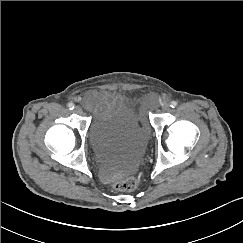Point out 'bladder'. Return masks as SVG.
Instances as JSON below:
<instances>
[{"label":"bladder","mask_w":243,"mask_h":243,"mask_svg":"<svg viewBox=\"0 0 243 243\" xmlns=\"http://www.w3.org/2000/svg\"><path fill=\"white\" fill-rule=\"evenodd\" d=\"M89 143L98 155L109 159L118 175L135 171L148 143L149 133L140 126L128 102L98 111L88 128Z\"/></svg>","instance_id":"1"}]
</instances>
